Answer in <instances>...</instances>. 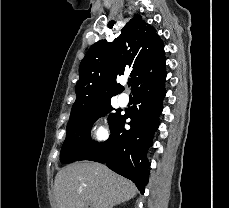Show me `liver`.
<instances>
[{"label": "liver", "instance_id": "obj_1", "mask_svg": "<svg viewBox=\"0 0 229 208\" xmlns=\"http://www.w3.org/2000/svg\"><path fill=\"white\" fill-rule=\"evenodd\" d=\"M58 208H113L134 198L137 188L97 162H76L58 172L54 182Z\"/></svg>", "mask_w": 229, "mask_h": 208}]
</instances>
